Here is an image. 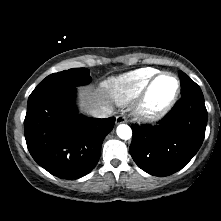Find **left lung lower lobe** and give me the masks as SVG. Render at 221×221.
<instances>
[{
	"label": "left lung lower lobe",
	"instance_id": "0a47b994",
	"mask_svg": "<svg viewBox=\"0 0 221 221\" xmlns=\"http://www.w3.org/2000/svg\"><path fill=\"white\" fill-rule=\"evenodd\" d=\"M207 110L204 97H181L157 125H132L129 147L135 163L154 176H168L186 166L205 137Z\"/></svg>",
	"mask_w": 221,
	"mask_h": 221
}]
</instances>
